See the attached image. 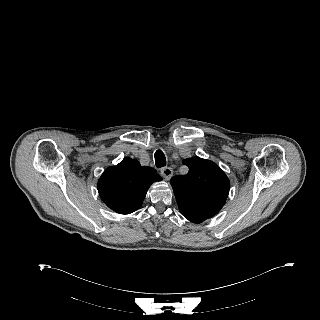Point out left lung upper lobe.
<instances>
[{
	"instance_id": "5c2ea615",
	"label": "left lung upper lobe",
	"mask_w": 320,
	"mask_h": 320,
	"mask_svg": "<svg viewBox=\"0 0 320 320\" xmlns=\"http://www.w3.org/2000/svg\"><path fill=\"white\" fill-rule=\"evenodd\" d=\"M183 164L189 172L170 180L179 209L203 219L213 217L228 197V177L217 164L206 159L188 158Z\"/></svg>"
}]
</instances>
